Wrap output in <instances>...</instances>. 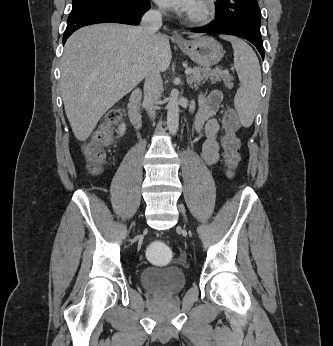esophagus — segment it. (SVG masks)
I'll list each match as a JSON object with an SVG mask.
<instances>
[{"mask_svg":"<svg viewBox=\"0 0 333 346\" xmlns=\"http://www.w3.org/2000/svg\"><path fill=\"white\" fill-rule=\"evenodd\" d=\"M172 37H173V39H174L175 41H183L182 36H181L177 31H174V32H173Z\"/></svg>","mask_w":333,"mask_h":346,"instance_id":"1","label":"esophagus"}]
</instances>
